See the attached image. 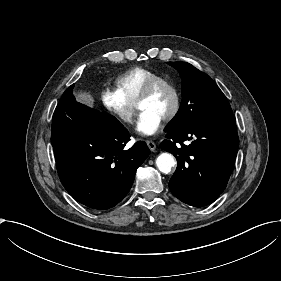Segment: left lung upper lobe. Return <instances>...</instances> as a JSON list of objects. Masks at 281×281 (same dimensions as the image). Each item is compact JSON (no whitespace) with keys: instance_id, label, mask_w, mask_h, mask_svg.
Instances as JSON below:
<instances>
[{"instance_id":"obj_1","label":"left lung upper lobe","mask_w":281,"mask_h":281,"mask_svg":"<svg viewBox=\"0 0 281 281\" xmlns=\"http://www.w3.org/2000/svg\"><path fill=\"white\" fill-rule=\"evenodd\" d=\"M168 64L177 69L182 78V102L165 132L233 115L225 95L207 74L186 62Z\"/></svg>"}]
</instances>
